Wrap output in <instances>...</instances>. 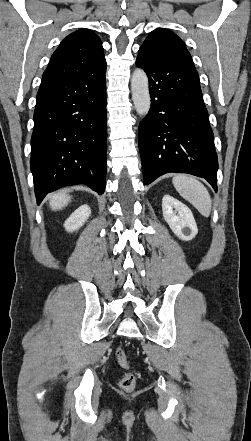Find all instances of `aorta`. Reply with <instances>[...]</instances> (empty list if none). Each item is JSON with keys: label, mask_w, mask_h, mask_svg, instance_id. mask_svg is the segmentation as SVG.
Segmentation results:
<instances>
[{"label": "aorta", "mask_w": 251, "mask_h": 441, "mask_svg": "<svg viewBox=\"0 0 251 441\" xmlns=\"http://www.w3.org/2000/svg\"><path fill=\"white\" fill-rule=\"evenodd\" d=\"M132 99L135 109L140 116H145L150 109L149 84L146 73L136 69L131 79Z\"/></svg>", "instance_id": "aorta-1"}]
</instances>
